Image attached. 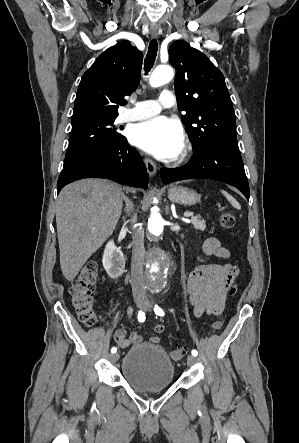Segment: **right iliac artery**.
Masks as SVG:
<instances>
[{
	"label": "right iliac artery",
	"mask_w": 299,
	"mask_h": 443,
	"mask_svg": "<svg viewBox=\"0 0 299 443\" xmlns=\"http://www.w3.org/2000/svg\"><path fill=\"white\" fill-rule=\"evenodd\" d=\"M137 318L139 322H144L146 319L145 313L143 311H139ZM116 351L117 349L115 347L111 349V353H116Z\"/></svg>",
	"instance_id": "82829eb1"
}]
</instances>
